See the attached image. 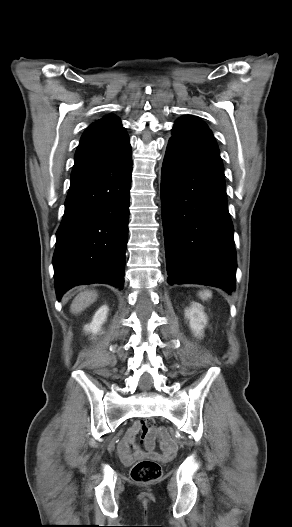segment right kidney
<instances>
[{
    "mask_svg": "<svg viewBox=\"0 0 292 527\" xmlns=\"http://www.w3.org/2000/svg\"><path fill=\"white\" fill-rule=\"evenodd\" d=\"M108 307L102 306L94 315L92 322L84 327L86 332L97 334L101 330L102 324L106 321Z\"/></svg>",
    "mask_w": 292,
    "mask_h": 527,
    "instance_id": "right-kidney-1",
    "label": "right kidney"
}]
</instances>
